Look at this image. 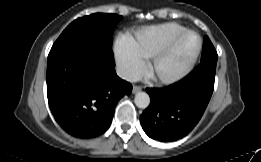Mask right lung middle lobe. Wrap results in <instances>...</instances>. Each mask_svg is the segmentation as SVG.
<instances>
[{
	"label": "right lung middle lobe",
	"instance_id": "obj_1",
	"mask_svg": "<svg viewBox=\"0 0 261 162\" xmlns=\"http://www.w3.org/2000/svg\"><path fill=\"white\" fill-rule=\"evenodd\" d=\"M122 16L95 13L74 20L59 36L54 45L79 40H99L109 45L117 23Z\"/></svg>",
	"mask_w": 261,
	"mask_h": 162
}]
</instances>
